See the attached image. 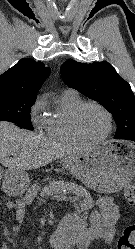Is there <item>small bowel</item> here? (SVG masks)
Masks as SVG:
<instances>
[{
  "mask_svg": "<svg viewBox=\"0 0 135 249\" xmlns=\"http://www.w3.org/2000/svg\"><path fill=\"white\" fill-rule=\"evenodd\" d=\"M99 213H92L90 216L89 237L110 243L114 236V225L119 218L118 206L111 197H101L98 202ZM8 210L16 211L17 223H20L25 217V206L23 203L8 201L6 203ZM19 226L14 227V231L18 232ZM2 249H9L4 246Z\"/></svg>",
  "mask_w": 135,
  "mask_h": 249,
  "instance_id": "c3829d8e",
  "label": "small bowel"
}]
</instances>
